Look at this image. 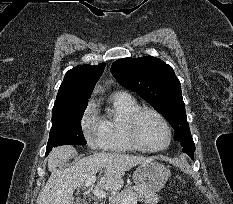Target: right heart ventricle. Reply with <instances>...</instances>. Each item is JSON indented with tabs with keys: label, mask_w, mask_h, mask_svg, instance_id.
<instances>
[{
	"label": "right heart ventricle",
	"mask_w": 233,
	"mask_h": 204,
	"mask_svg": "<svg viewBox=\"0 0 233 204\" xmlns=\"http://www.w3.org/2000/svg\"><path fill=\"white\" fill-rule=\"evenodd\" d=\"M139 107L138 102L125 93H117L111 97L110 108L100 118L105 150L115 152L136 150L128 138L126 120Z\"/></svg>",
	"instance_id": "right-heart-ventricle-1"
}]
</instances>
